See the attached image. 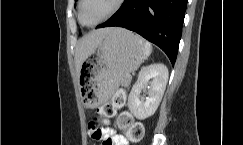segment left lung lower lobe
I'll return each mask as SVG.
<instances>
[{"mask_svg":"<svg viewBox=\"0 0 243 145\" xmlns=\"http://www.w3.org/2000/svg\"><path fill=\"white\" fill-rule=\"evenodd\" d=\"M187 0H124L120 9L105 23L132 30L159 46L174 65Z\"/></svg>","mask_w":243,"mask_h":145,"instance_id":"1","label":"left lung lower lobe"}]
</instances>
